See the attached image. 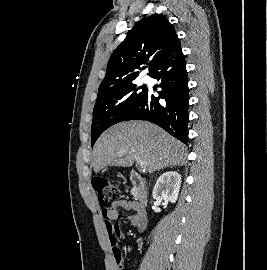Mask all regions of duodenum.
<instances>
[{"instance_id":"obj_1","label":"duodenum","mask_w":267,"mask_h":270,"mask_svg":"<svg viewBox=\"0 0 267 270\" xmlns=\"http://www.w3.org/2000/svg\"><path fill=\"white\" fill-rule=\"evenodd\" d=\"M130 180L137 191V200L140 207L144 206L148 201L147 184L143 177L138 173L132 171L130 173Z\"/></svg>"}]
</instances>
